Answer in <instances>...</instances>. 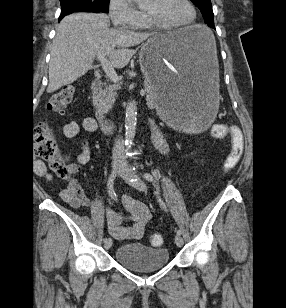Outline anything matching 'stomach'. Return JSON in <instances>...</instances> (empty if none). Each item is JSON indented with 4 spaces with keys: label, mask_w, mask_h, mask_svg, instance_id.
I'll return each instance as SVG.
<instances>
[{
    "label": "stomach",
    "mask_w": 286,
    "mask_h": 308,
    "mask_svg": "<svg viewBox=\"0 0 286 308\" xmlns=\"http://www.w3.org/2000/svg\"><path fill=\"white\" fill-rule=\"evenodd\" d=\"M139 62L167 125H211L219 71L215 39L207 27L154 36L141 48Z\"/></svg>",
    "instance_id": "obj_1"
}]
</instances>
